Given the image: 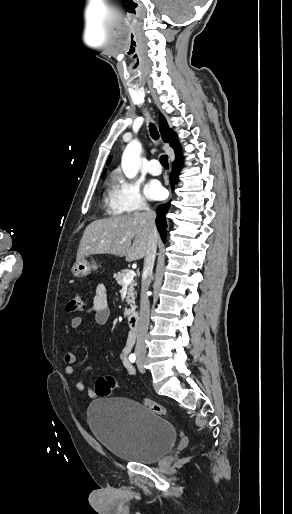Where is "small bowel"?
Returning <instances> with one entry per match:
<instances>
[{
  "label": "small bowel",
  "mask_w": 292,
  "mask_h": 514,
  "mask_svg": "<svg viewBox=\"0 0 292 514\" xmlns=\"http://www.w3.org/2000/svg\"><path fill=\"white\" fill-rule=\"evenodd\" d=\"M88 314H93L95 323L99 326L104 325L111 317V309L108 304V293L107 287L105 284H98L95 288V294L92 300L90 307L87 310ZM83 323V318L81 316H75L70 321V326L72 329L76 330L81 327ZM128 351L125 350L122 352L120 359L121 362L126 369L129 375L135 374V369L133 365L130 363L127 355ZM63 360L67 364L65 367V373L68 376L75 375V369L73 364L77 361L76 353L73 350L67 349L63 353ZM75 389L79 392H83L86 390V385L83 380L76 379L74 382ZM87 394L89 397H95V392L93 389H88Z\"/></svg>",
  "instance_id": "c3829d8e"
}]
</instances>
